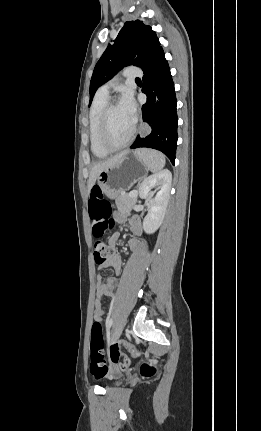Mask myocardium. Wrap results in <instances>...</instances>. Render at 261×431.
Masks as SVG:
<instances>
[{"mask_svg": "<svg viewBox=\"0 0 261 431\" xmlns=\"http://www.w3.org/2000/svg\"><path fill=\"white\" fill-rule=\"evenodd\" d=\"M116 104L117 103L115 101L108 102L107 105L104 107L100 116L99 141L101 146L109 152L119 151L125 148L126 146H128L131 143L132 139L134 138V135L137 130L136 122L134 121L133 127L128 137L122 143L115 144L110 141L109 134H108V117H109L110 111L116 106Z\"/></svg>", "mask_w": 261, "mask_h": 431, "instance_id": "f54148a6", "label": "myocardium"}]
</instances>
